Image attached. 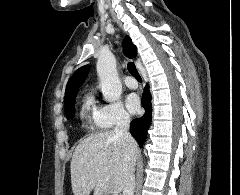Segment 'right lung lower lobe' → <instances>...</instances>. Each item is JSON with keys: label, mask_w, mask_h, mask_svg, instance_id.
<instances>
[{"label": "right lung lower lobe", "mask_w": 240, "mask_h": 195, "mask_svg": "<svg viewBox=\"0 0 240 195\" xmlns=\"http://www.w3.org/2000/svg\"><path fill=\"white\" fill-rule=\"evenodd\" d=\"M141 103L146 111L145 114L141 118L134 119L130 124V132L140 147H142L146 141L147 131L151 125L152 120L151 94L148 84L144 89Z\"/></svg>", "instance_id": "obj_1"}]
</instances>
